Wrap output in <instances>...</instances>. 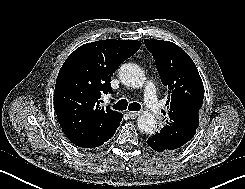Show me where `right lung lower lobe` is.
<instances>
[{"mask_svg": "<svg viewBox=\"0 0 245 189\" xmlns=\"http://www.w3.org/2000/svg\"><path fill=\"white\" fill-rule=\"evenodd\" d=\"M110 139V138H109ZM108 139V140H109ZM108 140H106V141H108ZM106 141H103L102 143H100V144H97V145H92V146H85V147H83V148H92V147H97V146H101L102 144H104V142H106Z\"/></svg>", "mask_w": 245, "mask_h": 189, "instance_id": "right-lung-lower-lobe-1", "label": "right lung lower lobe"}]
</instances>
